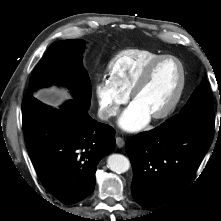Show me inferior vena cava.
Masks as SVG:
<instances>
[{
  "label": "inferior vena cava",
  "instance_id": "1",
  "mask_svg": "<svg viewBox=\"0 0 221 221\" xmlns=\"http://www.w3.org/2000/svg\"><path fill=\"white\" fill-rule=\"evenodd\" d=\"M117 110L116 108H101L98 110L97 116L101 120H108L111 116L116 115Z\"/></svg>",
  "mask_w": 221,
  "mask_h": 221
}]
</instances>
